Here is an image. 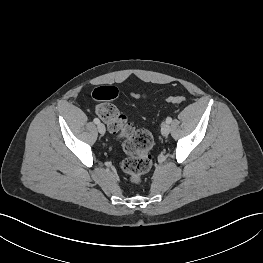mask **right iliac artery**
<instances>
[{"instance_id": "right-iliac-artery-1", "label": "right iliac artery", "mask_w": 263, "mask_h": 263, "mask_svg": "<svg viewBox=\"0 0 263 263\" xmlns=\"http://www.w3.org/2000/svg\"><path fill=\"white\" fill-rule=\"evenodd\" d=\"M93 122H94L95 124H98V123H100V120H99L98 118H94Z\"/></svg>"}]
</instances>
